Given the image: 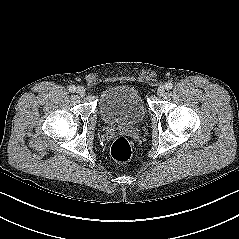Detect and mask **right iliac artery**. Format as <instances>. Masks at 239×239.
<instances>
[{
  "label": "right iliac artery",
  "mask_w": 239,
  "mask_h": 239,
  "mask_svg": "<svg viewBox=\"0 0 239 239\" xmlns=\"http://www.w3.org/2000/svg\"><path fill=\"white\" fill-rule=\"evenodd\" d=\"M70 92H75L76 91V87L74 85L69 86L68 89Z\"/></svg>",
  "instance_id": "82829eb1"
}]
</instances>
